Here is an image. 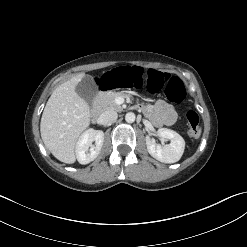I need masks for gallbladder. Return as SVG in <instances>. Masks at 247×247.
Instances as JSON below:
<instances>
[{"label": "gallbladder", "instance_id": "obj_1", "mask_svg": "<svg viewBox=\"0 0 247 247\" xmlns=\"http://www.w3.org/2000/svg\"><path fill=\"white\" fill-rule=\"evenodd\" d=\"M76 92L89 105H91L98 93V88L94 79L89 75H85L82 78V80L77 84Z\"/></svg>", "mask_w": 247, "mask_h": 247}]
</instances>
